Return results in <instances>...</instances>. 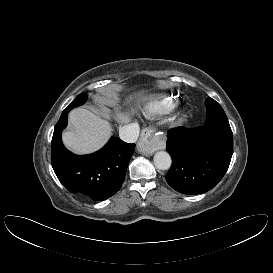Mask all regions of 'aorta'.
Returning a JSON list of instances; mask_svg holds the SVG:
<instances>
[{"mask_svg": "<svg viewBox=\"0 0 273 273\" xmlns=\"http://www.w3.org/2000/svg\"><path fill=\"white\" fill-rule=\"evenodd\" d=\"M171 157L165 151L156 152L154 155V164L159 170H167L171 167Z\"/></svg>", "mask_w": 273, "mask_h": 273, "instance_id": "aorta-1", "label": "aorta"}]
</instances>
